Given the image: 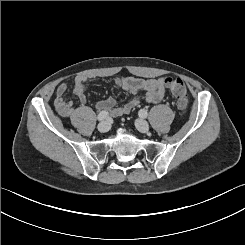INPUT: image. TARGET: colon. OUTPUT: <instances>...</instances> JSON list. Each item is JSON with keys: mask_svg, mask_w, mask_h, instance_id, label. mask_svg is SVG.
<instances>
[{"mask_svg": "<svg viewBox=\"0 0 245 245\" xmlns=\"http://www.w3.org/2000/svg\"><path fill=\"white\" fill-rule=\"evenodd\" d=\"M165 87L168 88L172 95L176 98L177 107L179 110L185 111L188 107L189 97L184 81L180 78L166 77Z\"/></svg>", "mask_w": 245, "mask_h": 245, "instance_id": "1", "label": "colon"}]
</instances>
